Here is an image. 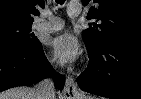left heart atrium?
Returning <instances> with one entry per match:
<instances>
[{
	"instance_id": "obj_1",
	"label": "left heart atrium",
	"mask_w": 141,
	"mask_h": 99,
	"mask_svg": "<svg viewBox=\"0 0 141 99\" xmlns=\"http://www.w3.org/2000/svg\"><path fill=\"white\" fill-rule=\"evenodd\" d=\"M51 48L54 54L64 62H73L80 54L78 40L68 33L54 38L51 42Z\"/></svg>"
}]
</instances>
